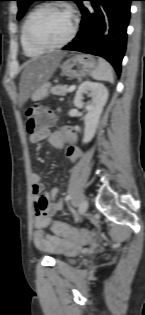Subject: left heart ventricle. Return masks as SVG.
I'll return each mask as SVG.
<instances>
[{
    "instance_id": "b2bd125f",
    "label": "left heart ventricle",
    "mask_w": 145,
    "mask_h": 315,
    "mask_svg": "<svg viewBox=\"0 0 145 315\" xmlns=\"http://www.w3.org/2000/svg\"><path fill=\"white\" fill-rule=\"evenodd\" d=\"M71 17L66 12H44L32 25V36L41 43L53 44L63 40L71 28Z\"/></svg>"
}]
</instances>
